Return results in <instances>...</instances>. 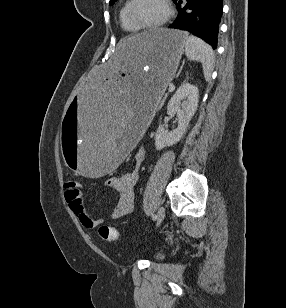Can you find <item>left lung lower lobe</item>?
<instances>
[{
	"label": "left lung lower lobe",
	"instance_id": "obj_1",
	"mask_svg": "<svg viewBox=\"0 0 286 308\" xmlns=\"http://www.w3.org/2000/svg\"><path fill=\"white\" fill-rule=\"evenodd\" d=\"M185 1V6L181 7L182 0H173L179 13L169 28L189 31L216 49L223 0Z\"/></svg>",
	"mask_w": 286,
	"mask_h": 308
}]
</instances>
